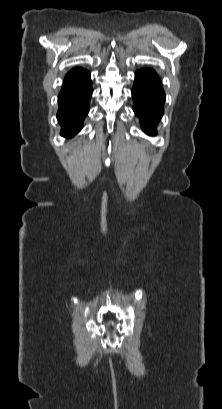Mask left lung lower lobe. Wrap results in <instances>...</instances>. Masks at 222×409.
<instances>
[{
	"instance_id": "1",
	"label": "left lung lower lobe",
	"mask_w": 222,
	"mask_h": 409,
	"mask_svg": "<svg viewBox=\"0 0 222 409\" xmlns=\"http://www.w3.org/2000/svg\"><path fill=\"white\" fill-rule=\"evenodd\" d=\"M134 112L149 135L155 134L156 125L163 114L165 94L161 81L152 70L141 69L135 74L132 89Z\"/></svg>"
}]
</instances>
